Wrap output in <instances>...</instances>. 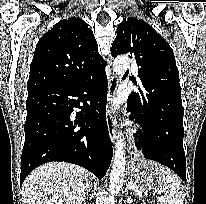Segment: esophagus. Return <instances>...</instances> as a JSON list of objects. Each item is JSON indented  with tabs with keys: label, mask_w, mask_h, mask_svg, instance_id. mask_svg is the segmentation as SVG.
<instances>
[{
	"label": "esophagus",
	"mask_w": 206,
	"mask_h": 204,
	"mask_svg": "<svg viewBox=\"0 0 206 204\" xmlns=\"http://www.w3.org/2000/svg\"><path fill=\"white\" fill-rule=\"evenodd\" d=\"M118 88V78L115 74H112L109 79V87H108V104H107V127L109 131V136L112 143H115L116 140V119L112 113V101L116 96Z\"/></svg>",
	"instance_id": "obj_1"
}]
</instances>
